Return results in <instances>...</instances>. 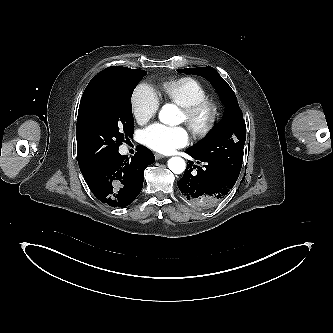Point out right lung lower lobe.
I'll return each instance as SVG.
<instances>
[{
	"label": "right lung lower lobe",
	"instance_id": "1",
	"mask_svg": "<svg viewBox=\"0 0 333 333\" xmlns=\"http://www.w3.org/2000/svg\"><path fill=\"white\" fill-rule=\"evenodd\" d=\"M129 160L127 155L115 154L83 175L92 193L112 207H125L139 195L144 181V170L155 161L153 153L137 146Z\"/></svg>",
	"mask_w": 333,
	"mask_h": 333
}]
</instances>
